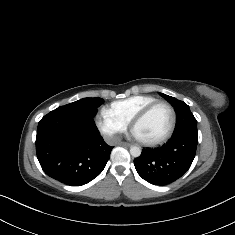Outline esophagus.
<instances>
[{"label":"esophagus","instance_id":"34e87169","mask_svg":"<svg viewBox=\"0 0 235 235\" xmlns=\"http://www.w3.org/2000/svg\"><path fill=\"white\" fill-rule=\"evenodd\" d=\"M119 145H120V146L129 147V146H130V143H128V142H120Z\"/></svg>","mask_w":235,"mask_h":235}]
</instances>
